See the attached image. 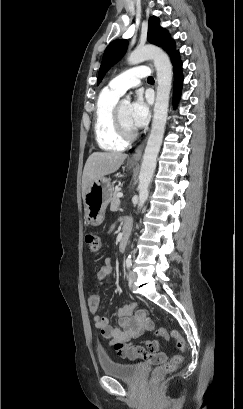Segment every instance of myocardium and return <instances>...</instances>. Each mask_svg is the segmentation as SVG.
I'll return each instance as SVG.
<instances>
[{
    "instance_id": "1",
    "label": "myocardium",
    "mask_w": 243,
    "mask_h": 409,
    "mask_svg": "<svg viewBox=\"0 0 243 409\" xmlns=\"http://www.w3.org/2000/svg\"><path fill=\"white\" fill-rule=\"evenodd\" d=\"M120 106H121V103H117L114 108L113 124H114L116 134L119 136L121 140L127 143V142L133 141L136 138L137 132L135 129L133 130L127 129L122 123V120L120 118Z\"/></svg>"
}]
</instances>
